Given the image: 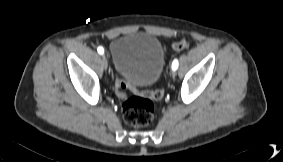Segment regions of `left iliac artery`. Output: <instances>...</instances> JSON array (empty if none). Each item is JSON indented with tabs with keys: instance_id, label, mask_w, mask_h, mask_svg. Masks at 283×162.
<instances>
[{
	"instance_id": "left-iliac-artery-1",
	"label": "left iliac artery",
	"mask_w": 283,
	"mask_h": 162,
	"mask_svg": "<svg viewBox=\"0 0 283 162\" xmlns=\"http://www.w3.org/2000/svg\"><path fill=\"white\" fill-rule=\"evenodd\" d=\"M177 68H178V60L175 59V60L173 61V63H172V69H173V70H176Z\"/></svg>"
}]
</instances>
